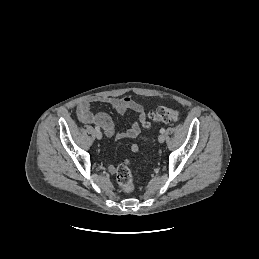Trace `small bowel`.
Wrapping results in <instances>:
<instances>
[{
	"label": "small bowel",
	"instance_id": "obj_1",
	"mask_svg": "<svg viewBox=\"0 0 259 259\" xmlns=\"http://www.w3.org/2000/svg\"><path fill=\"white\" fill-rule=\"evenodd\" d=\"M93 102H101L109 104L113 107L118 113L123 114L126 111H132L137 114L138 121L132 123V125L125 131L116 134L118 139H134L138 137L141 132L140 123L143 124L146 121V114L143 106L133 100L130 97L116 98L110 96H95L89 97L81 101L77 106V117L84 124H96L100 126L105 133L107 138H111L115 135L114 125L110 116L104 112L93 113L91 111V104ZM131 150L136 152L138 151L137 145H132ZM115 166L108 165V170L110 173H115Z\"/></svg>",
	"mask_w": 259,
	"mask_h": 259
}]
</instances>
